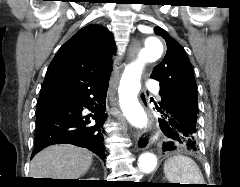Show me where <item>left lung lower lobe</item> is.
<instances>
[{
    "label": "left lung lower lobe",
    "mask_w": 240,
    "mask_h": 187,
    "mask_svg": "<svg viewBox=\"0 0 240 187\" xmlns=\"http://www.w3.org/2000/svg\"><path fill=\"white\" fill-rule=\"evenodd\" d=\"M156 109L161 113L159 125L162 131L172 139L164 143L163 152L175 150L177 147L196 152L197 114L177 102L163 98L160 106L156 105Z\"/></svg>",
    "instance_id": "obj_1"
}]
</instances>
